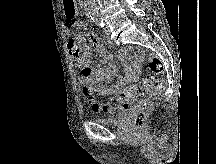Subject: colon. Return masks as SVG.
I'll return each instance as SVG.
<instances>
[{
	"label": "colon",
	"instance_id": "colon-1",
	"mask_svg": "<svg viewBox=\"0 0 216 164\" xmlns=\"http://www.w3.org/2000/svg\"><path fill=\"white\" fill-rule=\"evenodd\" d=\"M148 67L151 75L142 78L136 83L126 86L117 96V100L120 103H126L141 98L137 111L132 117V124L136 127L144 125L152 109V99L157 98L166 87V81L162 77L164 65L156 55H149Z\"/></svg>",
	"mask_w": 216,
	"mask_h": 164
}]
</instances>
